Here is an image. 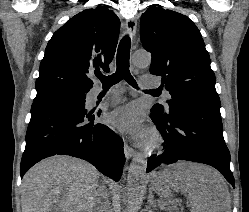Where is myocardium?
<instances>
[{"label":"myocardium","mask_w":249,"mask_h":212,"mask_svg":"<svg viewBox=\"0 0 249 212\" xmlns=\"http://www.w3.org/2000/svg\"><path fill=\"white\" fill-rule=\"evenodd\" d=\"M163 144V138L156 128H151L146 134L145 148L148 151H153Z\"/></svg>","instance_id":"myocardium-1"}]
</instances>
